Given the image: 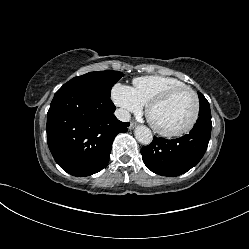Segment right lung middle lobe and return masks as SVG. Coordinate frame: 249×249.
<instances>
[{
  "mask_svg": "<svg viewBox=\"0 0 249 249\" xmlns=\"http://www.w3.org/2000/svg\"><path fill=\"white\" fill-rule=\"evenodd\" d=\"M123 77V73L119 71H98L90 72L82 76H77L71 79L67 84H79L89 86L96 89L100 93H104L107 96L111 94L112 86Z\"/></svg>",
  "mask_w": 249,
  "mask_h": 249,
  "instance_id": "1",
  "label": "right lung middle lobe"
}]
</instances>
